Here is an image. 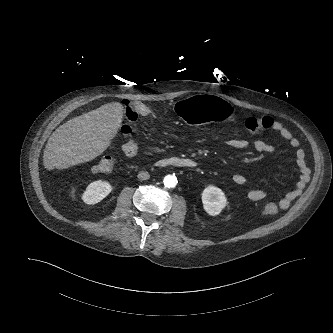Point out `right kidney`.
<instances>
[{"label": "right kidney", "instance_id": "1", "mask_svg": "<svg viewBox=\"0 0 333 333\" xmlns=\"http://www.w3.org/2000/svg\"><path fill=\"white\" fill-rule=\"evenodd\" d=\"M112 189V186L107 181H94L87 186L82 195V200L86 204H96L108 196Z\"/></svg>", "mask_w": 333, "mask_h": 333}]
</instances>
